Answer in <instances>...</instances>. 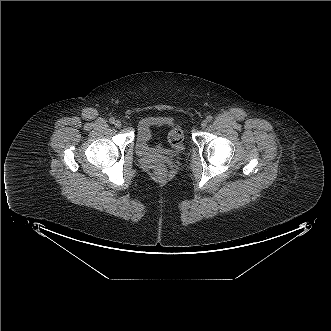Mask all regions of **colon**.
<instances>
[{"label":"colon","mask_w":331,"mask_h":331,"mask_svg":"<svg viewBox=\"0 0 331 331\" xmlns=\"http://www.w3.org/2000/svg\"><path fill=\"white\" fill-rule=\"evenodd\" d=\"M169 142L173 146H178L183 141V134L179 129H173L169 133ZM154 175L157 179H164L167 175V171L164 167L157 166L154 170Z\"/></svg>","instance_id":"obj_1"}]
</instances>
